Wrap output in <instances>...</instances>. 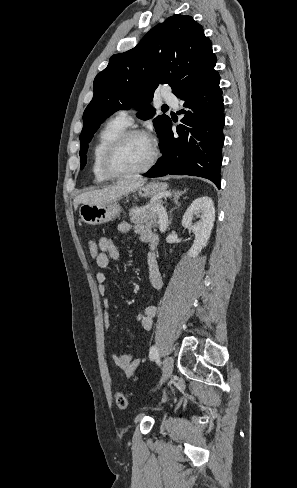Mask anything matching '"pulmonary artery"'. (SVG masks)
Masks as SVG:
<instances>
[{"instance_id":"pulmonary-artery-1","label":"pulmonary artery","mask_w":297,"mask_h":488,"mask_svg":"<svg viewBox=\"0 0 297 488\" xmlns=\"http://www.w3.org/2000/svg\"><path fill=\"white\" fill-rule=\"evenodd\" d=\"M164 101L174 106L175 108H178L180 106L179 99L175 95L170 93L164 94ZM132 112V109H122L118 112L117 117L124 123L130 125L133 123Z\"/></svg>"}]
</instances>
